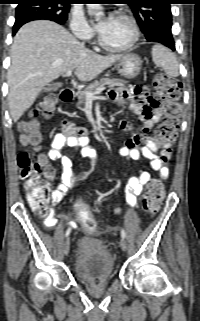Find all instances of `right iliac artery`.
I'll list each match as a JSON object with an SVG mask.
<instances>
[{
	"label": "right iliac artery",
	"mask_w": 200,
	"mask_h": 321,
	"mask_svg": "<svg viewBox=\"0 0 200 321\" xmlns=\"http://www.w3.org/2000/svg\"><path fill=\"white\" fill-rule=\"evenodd\" d=\"M70 231H71V229H70V228H68V229H67V231H66V234H65V236H66V237H68V236H69Z\"/></svg>",
	"instance_id": "1"
}]
</instances>
